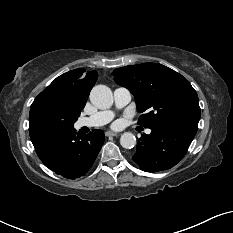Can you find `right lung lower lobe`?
<instances>
[{
    "label": "right lung lower lobe",
    "instance_id": "right-lung-lower-lobe-1",
    "mask_svg": "<svg viewBox=\"0 0 233 233\" xmlns=\"http://www.w3.org/2000/svg\"><path fill=\"white\" fill-rule=\"evenodd\" d=\"M30 138L40 160L56 174L68 179L85 175L93 165L104 142L102 130L77 135L73 127L29 128Z\"/></svg>",
    "mask_w": 233,
    "mask_h": 233
}]
</instances>
